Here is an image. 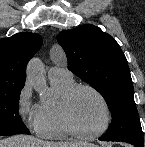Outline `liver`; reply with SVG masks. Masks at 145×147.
Here are the masks:
<instances>
[{
	"label": "liver",
	"mask_w": 145,
	"mask_h": 147,
	"mask_svg": "<svg viewBox=\"0 0 145 147\" xmlns=\"http://www.w3.org/2000/svg\"><path fill=\"white\" fill-rule=\"evenodd\" d=\"M0 147H96L86 142H49L33 136L16 135L0 140Z\"/></svg>",
	"instance_id": "1"
}]
</instances>
